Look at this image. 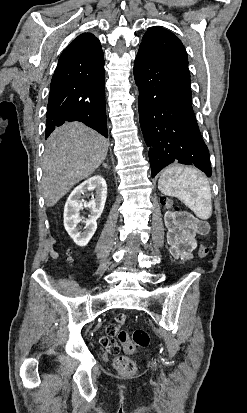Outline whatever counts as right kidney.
<instances>
[{
    "mask_svg": "<svg viewBox=\"0 0 247 413\" xmlns=\"http://www.w3.org/2000/svg\"><path fill=\"white\" fill-rule=\"evenodd\" d=\"M87 190H95V196L89 202L82 198V194ZM106 196L107 184L101 174H95V176L87 178L69 194L64 207V227L69 237L79 247H86L92 239L97 229L96 221L101 217L105 207ZM83 207L90 209L89 219H86V221H83L79 215V211ZM79 223H85L84 231H81Z\"/></svg>",
    "mask_w": 247,
    "mask_h": 413,
    "instance_id": "1",
    "label": "right kidney"
}]
</instances>
